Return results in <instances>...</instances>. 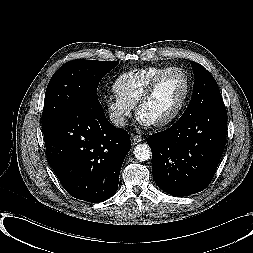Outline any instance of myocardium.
I'll list each match as a JSON object with an SVG mask.
<instances>
[{
  "label": "myocardium",
  "mask_w": 253,
  "mask_h": 253,
  "mask_svg": "<svg viewBox=\"0 0 253 253\" xmlns=\"http://www.w3.org/2000/svg\"><path fill=\"white\" fill-rule=\"evenodd\" d=\"M170 73H179L182 75L185 82L184 93L180 102L178 103L177 107L174 109L172 113L161 118L158 121L150 123L154 127H163L175 121L183 112L190 95L191 84L186 71L180 67H169L168 69L157 75L146 87V89L144 90V92L142 93L136 104L137 115L140 116L142 109L151 100L161 81Z\"/></svg>",
  "instance_id": "f54148a6"
}]
</instances>
